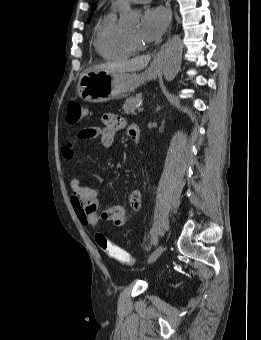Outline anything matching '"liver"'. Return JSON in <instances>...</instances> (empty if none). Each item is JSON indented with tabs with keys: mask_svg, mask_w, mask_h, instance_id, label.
I'll return each instance as SVG.
<instances>
[{
	"mask_svg": "<svg viewBox=\"0 0 261 340\" xmlns=\"http://www.w3.org/2000/svg\"><path fill=\"white\" fill-rule=\"evenodd\" d=\"M151 57L149 55L137 57L128 61L107 62L96 65L92 68L93 71H108V72H132L144 69Z\"/></svg>",
	"mask_w": 261,
	"mask_h": 340,
	"instance_id": "liver-1",
	"label": "liver"
}]
</instances>
